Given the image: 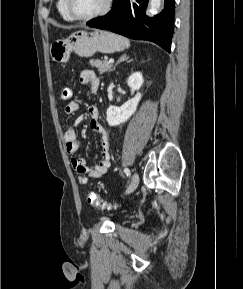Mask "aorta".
Returning a JSON list of instances; mask_svg holds the SVG:
<instances>
[{"label": "aorta", "instance_id": "762f6f07", "mask_svg": "<svg viewBox=\"0 0 243 289\" xmlns=\"http://www.w3.org/2000/svg\"><path fill=\"white\" fill-rule=\"evenodd\" d=\"M162 0H150L148 13L152 14L160 9Z\"/></svg>", "mask_w": 243, "mask_h": 289}]
</instances>
